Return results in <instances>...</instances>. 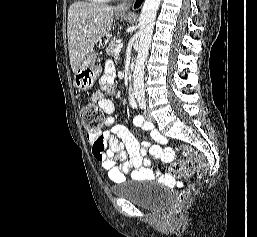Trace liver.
<instances>
[{"instance_id":"6515ba94","label":"liver","mask_w":257,"mask_h":237,"mask_svg":"<svg viewBox=\"0 0 257 237\" xmlns=\"http://www.w3.org/2000/svg\"><path fill=\"white\" fill-rule=\"evenodd\" d=\"M111 6L74 2L68 10L67 36L72 71L75 73L88 53L112 27Z\"/></svg>"}]
</instances>
